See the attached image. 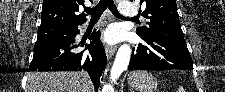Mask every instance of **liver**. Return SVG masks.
I'll return each instance as SVG.
<instances>
[{"instance_id": "obj_1", "label": "liver", "mask_w": 225, "mask_h": 92, "mask_svg": "<svg viewBox=\"0 0 225 92\" xmlns=\"http://www.w3.org/2000/svg\"><path fill=\"white\" fill-rule=\"evenodd\" d=\"M27 92H93L89 75L75 72H31L27 75Z\"/></svg>"}]
</instances>
